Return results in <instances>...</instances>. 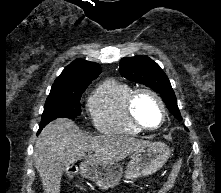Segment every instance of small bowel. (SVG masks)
Wrapping results in <instances>:
<instances>
[{
    "mask_svg": "<svg viewBox=\"0 0 221 193\" xmlns=\"http://www.w3.org/2000/svg\"><path fill=\"white\" fill-rule=\"evenodd\" d=\"M160 193H164V191H160Z\"/></svg>",
    "mask_w": 221,
    "mask_h": 193,
    "instance_id": "obj_1",
    "label": "small bowel"
}]
</instances>
